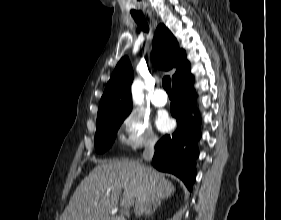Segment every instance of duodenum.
I'll return each instance as SVG.
<instances>
[{"instance_id":"410a0bca","label":"duodenum","mask_w":281,"mask_h":220,"mask_svg":"<svg viewBox=\"0 0 281 220\" xmlns=\"http://www.w3.org/2000/svg\"><path fill=\"white\" fill-rule=\"evenodd\" d=\"M110 220H125V219L122 218V217H113V218H111Z\"/></svg>"}]
</instances>
